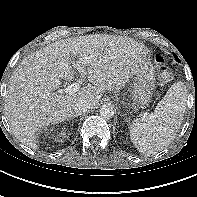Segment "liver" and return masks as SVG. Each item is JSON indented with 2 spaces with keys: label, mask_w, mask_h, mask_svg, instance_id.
<instances>
[{
  "label": "liver",
  "mask_w": 197,
  "mask_h": 197,
  "mask_svg": "<svg viewBox=\"0 0 197 197\" xmlns=\"http://www.w3.org/2000/svg\"><path fill=\"white\" fill-rule=\"evenodd\" d=\"M71 55L87 68L91 84L69 95L57 93L60 79L72 80ZM149 50L132 38L93 34L52 43L24 58L9 79L5 116L15 137L37 149V133L44 126L73 117V105L87 99L95 107L105 90L118 92L135 75Z\"/></svg>",
  "instance_id": "6515ba94"
}]
</instances>
